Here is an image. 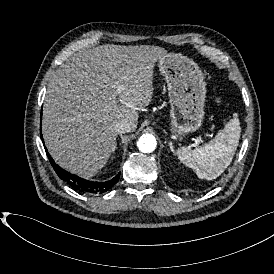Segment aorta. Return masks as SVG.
I'll list each match as a JSON object with an SVG mask.
<instances>
[{
  "instance_id": "1",
  "label": "aorta",
  "mask_w": 274,
  "mask_h": 274,
  "mask_svg": "<svg viewBox=\"0 0 274 274\" xmlns=\"http://www.w3.org/2000/svg\"><path fill=\"white\" fill-rule=\"evenodd\" d=\"M156 145V139L152 134H143L137 142L138 149L143 153L153 152Z\"/></svg>"
}]
</instances>
